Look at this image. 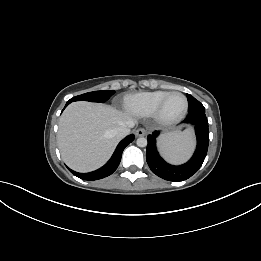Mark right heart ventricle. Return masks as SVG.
Masks as SVG:
<instances>
[{"label": "right heart ventricle", "instance_id": "1", "mask_svg": "<svg viewBox=\"0 0 261 261\" xmlns=\"http://www.w3.org/2000/svg\"><path fill=\"white\" fill-rule=\"evenodd\" d=\"M168 91L143 92L130 95L124 100V108L132 115L150 117Z\"/></svg>", "mask_w": 261, "mask_h": 261}]
</instances>
